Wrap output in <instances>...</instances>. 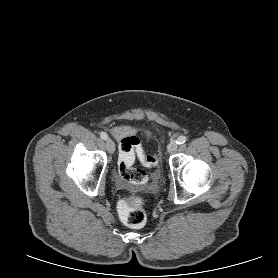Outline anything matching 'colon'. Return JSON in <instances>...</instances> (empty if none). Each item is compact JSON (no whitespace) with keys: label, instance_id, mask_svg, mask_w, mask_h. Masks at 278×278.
I'll use <instances>...</instances> for the list:
<instances>
[{"label":"colon","instance_id":"1","mask_svg":"<svg viewBox=\"0 0 278 278\" xmlns=\"http://www.w3.org/2000/svg\"><path fill=\"white\" fill-rule=\"evenodd\" d=\"M136 156L147 167L156 166L158 163L155 155L144 154L136 137L123 139L119 146V174L131 184L144 185L148 182V175L144 170L133 167ZM117 211L121 221L129 227L140 228L146 222L145 199L141 195L123 196L118 201Z\"/></svg>","mask_w":278,"mask_h":278}]
</instances>
